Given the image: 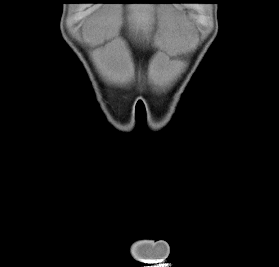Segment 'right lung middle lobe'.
Instances as JSON below:
<instances>
[{"label":"right lung middle lobe","instance_id":"dd1d6c3e","mask_svg":"<svg viewBox=\"0 0 279 267\" xmlns=\"http://www.w3.org/2000/svg\"><path fill=\"white\" fill-rule=\"evenodd\" d=\"M113 1H116V0H113ZM127 1H128V0H125V1H123V2H121V3H128Z\"/></svg>","mask_w":279,"mask_h":267}]
</instances>
